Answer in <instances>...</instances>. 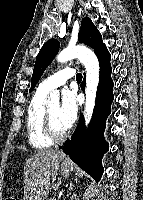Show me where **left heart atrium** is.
I'll list each match as a JSON object with an SVG mask.
<instances>
[{
  "mask_svg": "<svg viewBox=\"0 0 143 200\" xmlns=\"http://www.w3.org/2000/svg\"><path fill=\"white\" fill-rule=\"evenodd\" d=\"M77 110L75 93L71 90H64L59 108V117L67 129L74 123L77 117Z\"/></svg>",
  "mask_w": 143,
  "mask_h": 200,
  "instance_id": "left-heart-atrium-1",
  "label": "left heart atrium"
}]
</instances>
